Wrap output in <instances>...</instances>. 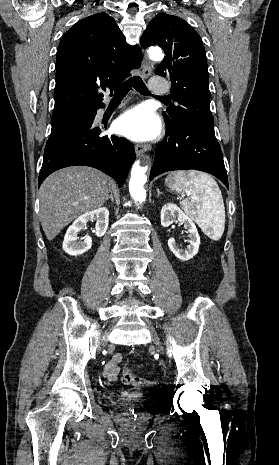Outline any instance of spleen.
Instances as JSON below:
<instances>
[{
    "instance_id": "spleen-1",
    "label": "spleen",
    "mask_w": 279,
    "mask_h": 465,
    "mask_svg": "<svg viewBox=\"0 0 279 465\" xmlns=\"http://www.w3.org/2000/svg\"><path fill=\"white\" fill-rule=\"evenodd\" d=\"M166 183L172 190L187 195L181 207L212 240H219L225 228V207L216 181L207 173L171 172Z\"/></svg>"
}]
</instances>
